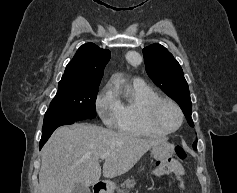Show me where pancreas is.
<instances>
[{
	"mask_svg": "<svg viewBox=\"0 0 237 193\" xmlns=\"http://www.w3.org/2000/svg\"><path fill=\"white\" fill-rule=\"evenodd\" d=\"M135 184V180L134 179H128L126 182H125V190L124 191H121L120 193H127V189L128 188H131L132 186H134Z\"/></svg>",
	"mask_w": 237,
	"mask_h": 193,
	"instance_id": "1",
	"label": "pancreas"
}]
</instances>
